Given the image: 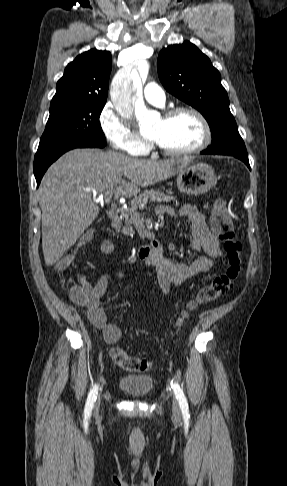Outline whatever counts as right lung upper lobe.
<instances>
[{
  "mask_svg": "<svg viewBox=\"0 0 287 486\" xmlns=\"http://www.w3.org/2000/svg\"><path fill=\"white\" fill-rule=\"evenodd\" d=\"M111 68L109 51L91 49L78 55L57 82L50 107L86 100L106 101Z\"/></svg>",
  "mask_w": 287,
  "mask_h": 486,
  "instance_id": "cb5924a9",
  "label": "right lung upper lobe"
}]
</instances>
